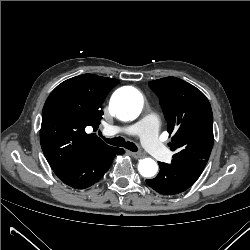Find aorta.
<instances>
[{
  "mask_svg": "<svg viewBox=\"0 0 250 250\" xmlns=\"http://www.w3.org/2000/svg\"><path fill=\"white\" fill-rule=\"evenodd\" d=\"M143 107L141 95L132 87H126L114 93L110 101L112 114L122 119L136 118ZM139 173L144 177H152L157 173V163L151 158L139 160Z\"/></svg>",
  "mask_w": 250,
  "mask_h": 250,
  "instance_id": "1",
  "label": "aorta"
}]
</instances>
